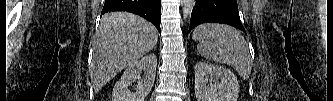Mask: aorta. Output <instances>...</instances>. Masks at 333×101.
I'll return each instance as SVG.
<instances>
[{
  "label": "aorta",
  "mask_w": 333,
  "mask_h": 101,
  "mask_svg": "<svg viewBox=\"0 0 333 101\" xmlns=\"http://www.w3.org/2000/svg\"><path fill=\"white\" fill-rule=\"evenodd\" d=\"M183 16L187 18L191 14L192 8L194 6V0H183Z\"/></svg>",
  "instance_id": "aorta-1"
}]
</instances>
